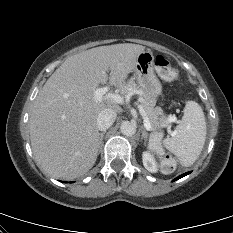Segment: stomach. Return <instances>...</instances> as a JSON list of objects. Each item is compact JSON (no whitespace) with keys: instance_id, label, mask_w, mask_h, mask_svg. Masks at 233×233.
<instances>
[{"instance_id":"1","label":"stomach","mask_w":233,"mask_h":233,"mask_svg":"<svg viewBox=\"0 0 233 233\" xmlns=\"http://www.w3.org/2000/svg\"><path fill=\"white\" fill-rule=\"evenodd\" d=\"M154 55L147 50L138 55L134 76L145 96L155 101L162 92V85L154 73Z\"/></svg>"}]
</instances>
